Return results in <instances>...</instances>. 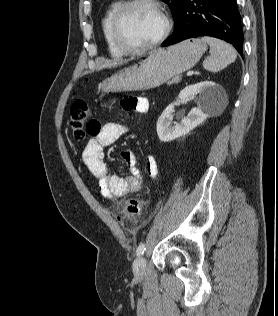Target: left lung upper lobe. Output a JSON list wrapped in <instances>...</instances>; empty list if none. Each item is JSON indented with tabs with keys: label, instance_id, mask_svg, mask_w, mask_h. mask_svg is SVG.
<instances>
[{
	"label": "left lung upper lobe",
	"instance_id": "obj_1",
	"mask_svg": "<svg viewBox=\"0 0 278 316\" xmlns=\"http://www.w3.org/2000/svg\"><path fill=\"white\" fill-rule=\"evenodd\" d=\"M171 9L174 21L176 22L184 0H163Z\"/></svg>",
	"mask_w": 278,
	"mask_h": 316
}]
</instances>
